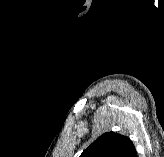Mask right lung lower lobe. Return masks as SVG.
Returning <instances> with one entry per match:
<instances>
[{
  "label": "right lung lower lobe",
  "mask_w": 164,
  "mask_h": 157,
  "mask_svg": "<svg viewBox=\"0 0 164 157\" xmlns=\"http://www.w3.org/2000/svg\"><path fill=\"white\" fill-rule=\"evenodd\" d=\"M133 157H138V156H137V153H136V151H135V153H134Z\"/></svg>",
  "instance_id": "98d812e1"
}]
</instances>
